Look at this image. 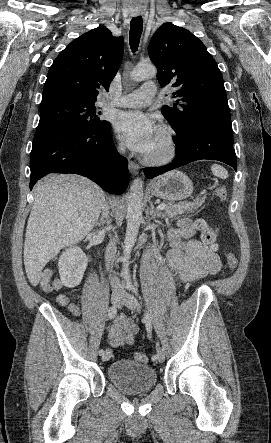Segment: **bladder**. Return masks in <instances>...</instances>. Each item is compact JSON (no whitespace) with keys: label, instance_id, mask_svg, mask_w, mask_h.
Returning a JSON list of instances; mask_svg holds the SVG:
<instances>
[{"label":"bladder","instance_id":"31cf9c89","mask_svg":"<svg viewBox=\"0 0 271 443\" xmlns=\"http://www.w3.org/2000/svg\"><path fill=\"white\" fill-rule=\"evenodd\" d=\"M107 375L114 386L128 394L148 392L157 383V374L152 367L130 359H119L111 363Z\"/></svg>","mask_w":271,"mask_h":443}]
</instances>
